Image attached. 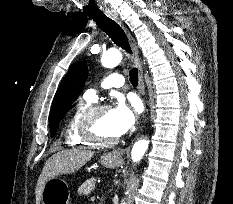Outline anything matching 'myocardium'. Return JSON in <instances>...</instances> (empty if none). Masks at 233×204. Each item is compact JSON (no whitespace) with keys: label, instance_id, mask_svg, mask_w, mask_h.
<instances>
[{"label":"myocardium","instance_id":"f54148a6","mask_svg":"<svg viewBox=\"0 0 233 204\" xmlns=\"http://www.w3.org/2000/svg\"><path fill=\"white\" fill-rule=\"evenodd\" d=\"M107 104H95L90 106L84 113L81 124L80 133L82 137L93 145L110 146L119 142L120 138H103L96 132V123L98 116L106 110H109Z\"/></svg>","mask_w":233,"mask_h":204}]
</instances>
